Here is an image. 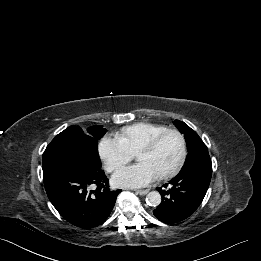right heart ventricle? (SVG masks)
I'll return each mask as SVG.
<instances>
[{
	"instance_id": "right-heart-ventricle-1",
	"label": "right heart ventricle",
	"mask_w": 261,
	"mask_h": 261,
	"mask_svg": "<svg viewBox=\"0 0 261 261\" xmlns=\"http://www.w3.org/2000/svg\"><path fill=\"white\" fill-rule=\"evenodd\" d=\"M166 129L168 128L163 125L139 122L122 128L116 132L115 137L129 153H136L153 136Z\"/></svg>"
}]
</instances>
